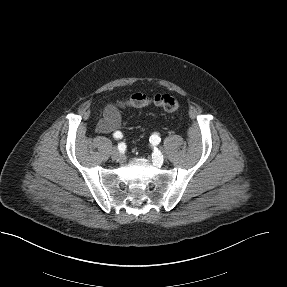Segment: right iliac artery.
<instances>
[{
    "mask_svg": "<svg viewBox=\"0 0 287 287\" xmlns=\"http://www.w3.org/2000/svg\"><path fill=\"white\" fill-rule=\"evenodd\" d=\"M113 136H114V138H116V139H121V138L123 137L122 133L119 132V131L115 132V133L113 134ZM125 148H126L125 143L121 142V143L118 144V149H119L120 151H124Z\"/></svg>",
    "mask_w": 287,
    "mask_h": 287,
    "instance_id": "obj_1",
    "label": "right iliac artery"
}]
</instances>
